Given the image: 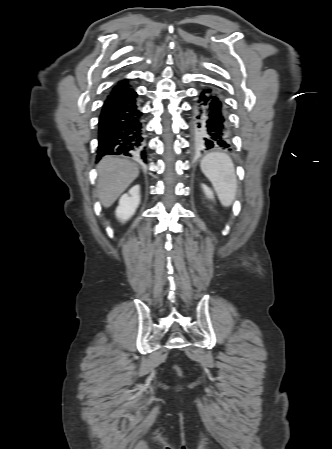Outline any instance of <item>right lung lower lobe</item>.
Here are the masks:
<instances>
[{"label":"right lung lower lobe","mask_w":332,"mask_h":449,"mask_svg":"<svg viewBox=\"0 0 332 449\" xmlns=\"http://www.w3.org/2000/svg\"><path fill=\"white\" fill-rule=\"evenodd\" d=\"M137 97L133 89L108 95L99 118L97 160L124 155L145 161L144 127Z\"/></svg>","instance_id":"right-lung-lower-lobe-1"}]
</instances>
